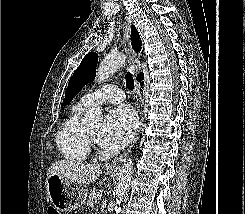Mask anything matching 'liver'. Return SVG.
Returning <instances> with one entry per match:
<instances>
[{
    "instance_id": "1",
    "label": "liver",
    "mask_w": 245,
    "mask_h": 214,
    "mask_svg": "<svg viewBox=\"0 0 245 214\" xmlns=\"http://www.w3.org/2000/svg\"><path fill=\"white\" fill-rule=\"evenodd\" d=\"M102 173V168L96 165H85L71 159L57 161L50 166L46 179L52 174H58L63 178L76 183L87 185L93 183Z\"/></svg>"
}]
</instances>
